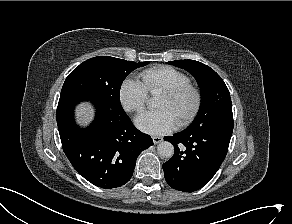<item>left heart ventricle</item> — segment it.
Segmentation results:
<instances>
[{"instance_id":"left-heart-ventricle-1","label":"left heart ventricle","mask_w":292,"mask_h":224,"mask_svg":"<svg viewBox=\"0 0 292 224\" xmlns=\"http://www.w3.org/2000/svg\"><path fill=\"white\" fill-rule=\"evenodd\" d=\"M193 101L191 94H186L176 100H171L164 95H160L158 98L156 107L158 109L168 110L176 122L188 111Z\"/></svg>"}]
</instances>
